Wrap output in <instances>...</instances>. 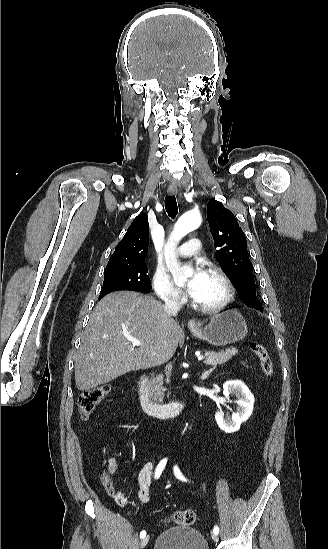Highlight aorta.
Wrapping results in <instances>:
<instances>
[{
    "label": "aorta",
    "instance_id": "1",
    "mask_svg": "<svg viewBox=\"0 0 328 549\" xmlns=\"http://www.w3.org/2000/svg\"><path fill=\"white\" fill-rule=\"evenodd\" d=\"M201 215L197 211H189L184 213L176 222L174 226V230L172 233V242H177L181 238H183L185 235H187L189 232L197 229L201 224ZM169 269L171 273L173 274L174 282L177 285H182L185 278L192 275V272L190 270H185L183 274L178 273V267L176 266L172 256L169 263Z\"/></svg>",
    "mask_w": 328,
    "mask_h": 549
}]
</instances>
